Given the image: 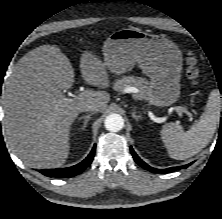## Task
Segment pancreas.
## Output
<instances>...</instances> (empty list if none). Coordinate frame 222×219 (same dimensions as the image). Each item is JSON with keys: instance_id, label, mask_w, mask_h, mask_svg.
<instances>
[{"instance_id": "cf45deb5", "label": "pancreas", "mask_w": 222, "mask_h": 219, "mask_svg": "<svg viewBox=\"0 0 222 219\" xmlns=\"http://www.w3.org/2000/svg\"><path fill=\"white\" fill-rule=\"evenodd\" d=\"M148 81L141 77L123 76L114 83V89L120 92H124L128 87H135L139 90V97L146 98L145 92L147 90Z\"/></svg>"}]
</instances>
